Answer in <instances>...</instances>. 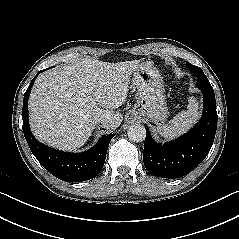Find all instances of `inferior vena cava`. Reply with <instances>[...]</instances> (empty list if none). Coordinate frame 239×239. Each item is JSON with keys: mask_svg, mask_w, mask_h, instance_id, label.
Here are the masks:
<instances>
[{"mask_svg": "<svg viewBox=\"0 0 239 239\" xmlns=\"http://www.w3.org/2000/svg\"><path fill=\"white\" fill-rule=\"evenodd\" d=\"M97 122L101 123L103 125H107L110 122V118L106 117V116H102V117L97 119Z\"/></svg>", "mask_w": 239, "mask_h": 239, "instance_id": "602c4592", "label": "inferior vena cava"}]
</instances>
